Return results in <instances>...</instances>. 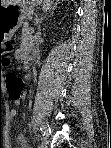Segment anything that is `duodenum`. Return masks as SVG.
<instances>
[{"instance_id":"1","label":"duodenum","mask_w":111,"mask_h":148,"mask_svg":"<svg viewBox=\"0 0 111 148\" xmlns=\"http://www.w3.org/2000/svg\"><path fill=\"white\" fill-rule=\"evenodd\" d=\"M21 59L23 62L29 61L31 58L28 54H22Z\"/></svg>"}]
</instances>
